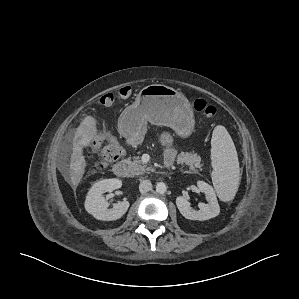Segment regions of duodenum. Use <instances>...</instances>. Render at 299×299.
<instances>
[{"label": "duodenum", "instance_id": "1", "mask_svg": "<svg viewBox=\"0 0 299 299\" xmlns=\"http://www.w3.org/2000/svg\"><path fill=\"white\" fill-rule=\"evenodd\" d=\"M113 172L116 176L120 178L127 177L129 174V167L125 161L117 162L113 167Z\"/></svg>", "mask_w": 299, "mask_h": 299}]
</instances>
